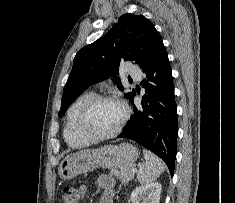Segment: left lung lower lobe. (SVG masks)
Segmentation results:
<instances>
[{"mask_svg": "<svg viewBox=\"0 0 235 203\" xmlns=\"http://www.w3.org/2000/svg\"><path fill=\"white\" fill-rule=\"evenodd\" d=\"M141 69L146 74L142 84L147 95L143 96L141 107L133 106L134 115L118 137L136 141L155 153L165 161L173 176L178 135L177 106L170 62L162 39L157 41ZM133 96L129 99L132 105Z\"/></svg>", "mask_w": 235, "mask_h": 203, "instance_id": "left-lung-lower-lobe-1", "label": "left lung lower lobe"}]
</instances>
